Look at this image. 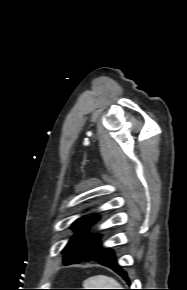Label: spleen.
I'll return each mask as SVG.
<instances>
[{"instance_id": "spleen-1", "label": "spleen", "mask_w": 187, "mask_h": 290, "mask_svg": "<svg viewBox=\"0 0 187 290\" xmlns=\"http://www.w3.org/2000/svg\"><path fill=\"white\" fill-rule=\"evenodd\" d=\"M86 287L89 289H121V285L112 277L105 275H97L87 279L84 282Z\"/></svg>"}]
</instances>
